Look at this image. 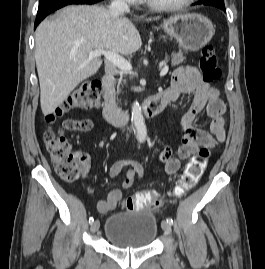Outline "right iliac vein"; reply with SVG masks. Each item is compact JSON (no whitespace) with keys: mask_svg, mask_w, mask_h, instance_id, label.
Wrapping results in <instances>:
<instances>
[{"mask_svg":"<svg viewBox=\"0 0 265 269\" xmlns=\"http://www.w3.org/2000/svg\"><path fill=\"white\" fill-rule=\"evenodd\" d=\"M99 226H100V223L99 221H94L92 224H91V232H96L98 229H99Z\"/></svg>","mask_w":265,"mask_h":269,"instance_id":"right-iliac-vein-1","label":"right iliac vein"}]
</instances>
